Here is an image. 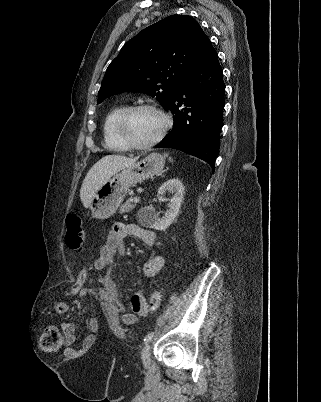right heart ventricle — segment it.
<instances>
[{
	"instance_id": "1",
	"label": "right heart ventricle",
	"mask_w": 321,
	"mask_h": 402,
	"mask_svg": "<svg viewBox=\"0 0 321 402\" xmlns=\"http://www.w3.org/2000/svg\"><path fill=\"white\" fill-rule=\"evenodd\" d=\"M126 106L124 104H119L113 107L106 115L103 122V141L104 146L113 152H125L129 148L121 141L116 124L121 113L124 111Z\"/></svg>"
}]
</instances>
